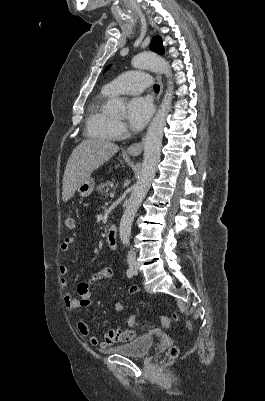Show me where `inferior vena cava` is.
I'll use <instances>...</instances> for the list:
<instances>
[{"instance_id":"602c4592","label":"inferior vena cava","mask_w":265,"mask_h":401,"mask_svg":"<svg viewBox=\"0 0 265 401\" xmlns=\"http://www.w3.org/2000/svg\"><path fill=\"white\" fill-rule=\"evenodd\" d=\"M127 259H129V261H131V259H135L134 251H129Z\"/></svg>"}]
</instances>
